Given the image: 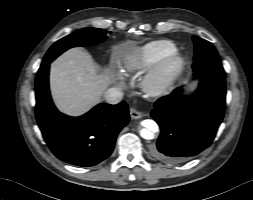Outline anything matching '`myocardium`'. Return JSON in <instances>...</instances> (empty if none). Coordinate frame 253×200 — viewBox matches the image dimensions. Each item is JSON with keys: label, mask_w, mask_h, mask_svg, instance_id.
Segmentation results:
<instances>
[{"label": "myocardium", "mask_w": 253, "mask_h": 200, "mask_svg": "<svg viewBox=\"0 0 253 200\" xmlns=\"http://www.w3.org/2000/svg\"><path fill=\"white\" fill-rule=\"evenodd\" d=\"M186 60L178 51L161 57L143 79L144 91L153 97L167 93L183 73Z\"/></svg>", "instance_id": "1"}]
</instances>
